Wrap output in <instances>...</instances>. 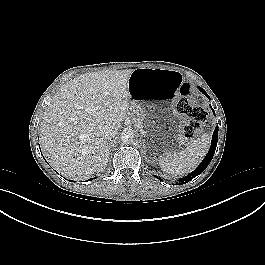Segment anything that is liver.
<instances>
[{
  "mask_svg": "<svg viewBox=\"0 0 265 265\" xmlns=\"http://www.w3.org/2000/svg\"><path fill=\"white\" fill-rule=\"evenodd\" d=\"M133 70L92 72L64 84L52 97L40 128L42 151L66 178L84 180L102 172L109 146L104 126L117 129L131 115L128 81Z\"/></svg>",
  "mask_w": 265,
  "mask_h": 265,
  "instance_id": "liver-1",
  "label": "liver"
}]
</instances>
